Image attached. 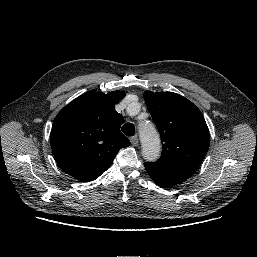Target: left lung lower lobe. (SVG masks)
I'll return each mask as SVG.
<instances>
[{
  "label": "left lung lower lobe",
  "mask_w": 257,
  "mask_h": 257,
  "mask_svg": "<svg viewBox=\"0 0 257 257\" xmlns=\"http://www.w3.org/2000/svg\"><path fill=\"white\" fill-rule=\"evenodd\" d=\"M145 169L153 181L159 186L171 187L187 180L186 177L178 174H171L160 171L148 163H144Z\"/></svg>",
  "instance_id": "obj_1"
}]
</instances>
